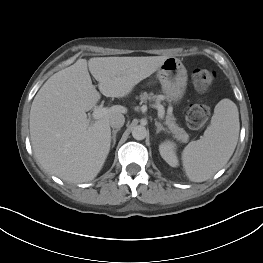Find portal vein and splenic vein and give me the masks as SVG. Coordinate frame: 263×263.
<instances>
[{"label":"portal vein and splenic vein","instance_id":"portal-vein-and-splenic-vein-1","mask_svg":"<svg viewBox=\"0 0 263 263\" xmlns=\"http://www.w3.org/2000/svg\"><path fill=\"white\" fill-rule=\"evenodd\" d=\"M158 110V117L160 119H163L164 117V108L162 105H157L155 106ZM109 109L106 107H103L102 105L99 106H95L93 113H92V118L95 120H98L100 118H102L103 116H105L108 113Z\"/></svg>","mask_w":263,"mask_h":263}]
</instances>
